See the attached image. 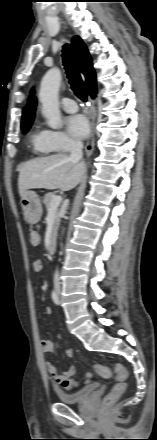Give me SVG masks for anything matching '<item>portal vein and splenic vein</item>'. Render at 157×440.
Wrapping results in <instances>:
<instances>
[{
	"label": "portal vein and splenic vein",
	"instance_id": "18ae733b",
	"mask_svg": "<svg viewBox=\"0 0 157 440\" xmlns=\"http://www.w3.org/2000/svg\"><path fill=\"white\" fill-rule=\"evenodd\" d=\"M61 201H62V197L56 196L51 202L50 210H52V211L56 210L58 208V206L60 205Z\"/></svg>",
	"mask_w": 157,
	"mask_h": 440
}]
</instances>
